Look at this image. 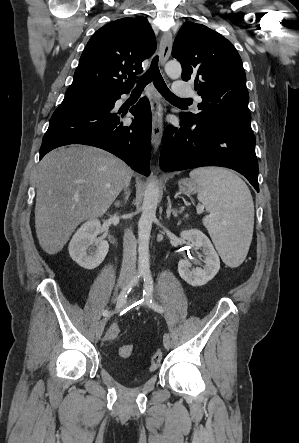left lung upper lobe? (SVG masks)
Segmentation results:
<instances>
[{
    "label": "left lung upper lobe",
    "mask_w": 299,
    "mask_h": 443,
    "mask_svg": "<svg viewBox=\"0 0 299 443\" xmlns=\"http://www.w3.org/2000/svg\"><path fill=\"white\" fill-rule=\"evenodd\" d=\"M172 56L182 65V79L195 80L202 98L201 111L186 113L189 118L251 122L242 60L229 40L202 24L186 23L175 38Z\"/></svg>",
    "instance_id": "left-lung-upper-lobe-1"
}]
</instances>
